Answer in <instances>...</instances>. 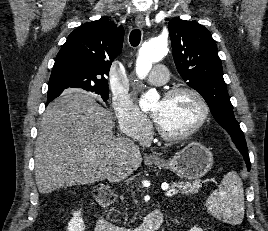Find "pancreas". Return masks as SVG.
Instances as JSON below:
<instances>
[{
	"label": "pancreas",
	"mask_w": 268,
	"mask_h": 231,
	"mask_svg": "<svg viewBox=\"0 0 268 231\" xmlns=\"http://www.w3.org/2000/svg\"><path fill=\"white\" fill-rule=\"evenodd\" d=\"M171 187L178 188L182 194H196L201 185L198 182H173Z\"/></svg>",
	"instance_id": "1"
}]
</instances>
